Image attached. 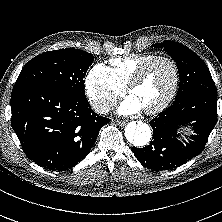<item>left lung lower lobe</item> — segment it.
Listing matches in <instances>:
<instances>
[{"label": "left lung lower lobe", "instance_id": "left-lung-lower-lobe-1", "mask_svg": "<svg viewBox=\"0 0 222 222\" xmlns=\"http://www.w3.org/2000/svg\"><path fill=\"white\" fill-rule=\"evenodd\" d=\"M217 121V96L192 93L176 98L173 104L149 123L150 144L132 148L138 161L149 169L170 170L199 155ZM191 126L194 135L181 141L179 130Z\"/></svg>", "mask_w": 222, "mask_h": 222}]
</instances>
